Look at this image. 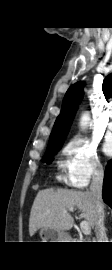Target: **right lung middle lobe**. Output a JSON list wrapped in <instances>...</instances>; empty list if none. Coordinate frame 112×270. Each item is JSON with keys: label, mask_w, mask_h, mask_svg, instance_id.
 Listing matches in <instances>:
<instances>
[{"label": "right lung middle lobe", "mask_w": 112, "mask_h": 270, "mask_svg": "<svg viewBox=\"0 0 112 270\" xmlns=\"http://www.w3.org/2000/svg\"><path fill=\"white\" fill-rule=\"evenodd\" d=\"M62 144L63 142L48 144L45 155L43 156V162L50 163V159H52L55 153L60 150V148L62 147Z\"/></svg>", "instance_id": "right-lung-middle-lobe-1"}]
</instances>
